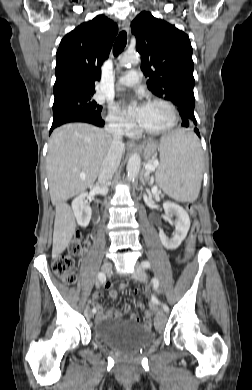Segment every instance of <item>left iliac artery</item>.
I'll return each mask as SVG.
<instances>
[{
    "mask_svg": "<svg viewBox=\"0 0 252 390\" xmlns=\"http://www.w3.org/2000/svg\"><path fill=\"white\" fill-rule=\"evenodd\" d=\"M142 268H150V262L147 260L142 261L141 263ZM153 287L156 290L159 287V281L157 278H153L152 280ZM152 300H155L157 304H160L164 311H168L169 307L166 304L161 303L154 295L152 296Z\"/></svg>",
    "mask_w": 252,
    "mask_h": 390,
    "instance_id": "44dca946",
    "label": "left iliac artery"
}]
</instances>
